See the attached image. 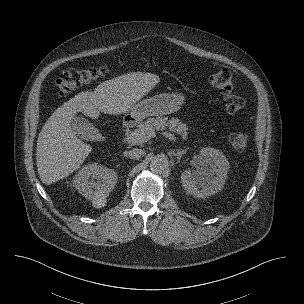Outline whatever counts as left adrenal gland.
Listing matches in <instances>:
<instances>
[{
  "mask_svg": "<svg viewBox=\"0 0 304 304\" xmlns=\"http://www.w3.org/2000/svg\"><path fill=\"white\" fill-rule=\"evenodd\" d=\"M188 149L189 148H186L185 150L177 149L176 152H173V155L178 159V162L180 161L182 155H184Z\"/></svg>",
  "mask_w": 304,
  "mask_h": 304,
  "instance_id": "1",
  "label": "left adrenal gland"
}]
</instances>
